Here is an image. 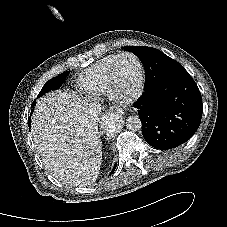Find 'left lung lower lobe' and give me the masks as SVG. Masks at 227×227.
Segmentation results:
<instances>
[{
    "label": "left lung lower lobe",
    "mask_w": 227,
    "mask_h": 227,
    "mask_svg": "<svg viewBox=\"0 0 227 227\" xmlns=\"http://www.w3.org/2000/svg\"><path fill=\"white\" fill-rule=\"evenodd\" d=\"M134 107L146 142L164 150L192 137L200 125L203 109L200 91L187 71L168 75L145 88Z\"/></svg>",
    "instance_id": "left-lung-lower-lobe-1"
}]
</instances>
